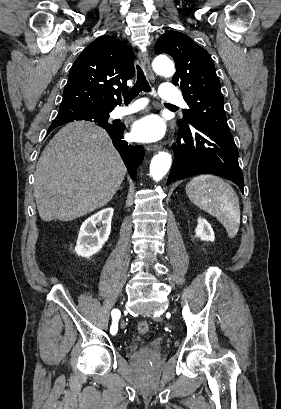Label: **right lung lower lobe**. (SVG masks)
I'll use <instances>...</instances> for the list:
<instances>
[{
	"label": "right lung lower lobe",
	"instance_id": "1",
	"mask_svg": "<svg viewBox=\"0 0 281 409\" xmlns=\"http://www.w3.org/2000/svg\"><path fill=\"white\" fill-rule=\"evenodd\" d=\"M109 112L95 109H60L57 117L99 120L97 121L98 126L103 127L107 131L113 145L120 153L131 178L135 179L137 168L144 157L143 148L141 146L128 145L126 141L122 140L125 125L123 123L109 124L108 118H104L105 114ZM50 131L48 130V133Z\"/></svg>",
	"mask_w": 281,
	"mask_h": 409
}]
</instances>
